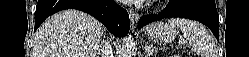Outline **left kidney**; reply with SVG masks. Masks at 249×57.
Returning a JSON list of instances; mask_svg holds the SVG:
<instances>
[{
    "instance_id": "1",
    "label": "left kidney",
    "mask_w": 249,
    "mask_h": 57,
    "mask_svg": "<svg viewBox=\"0 0 249 57\" xmlns=\"http://www.w3.org/2000/svg\"><path fill=\"white\" fill-rule=\"evenodd\" d=\"M173 57H179V55H174Z\"/></svg>"
}]
</instances>
